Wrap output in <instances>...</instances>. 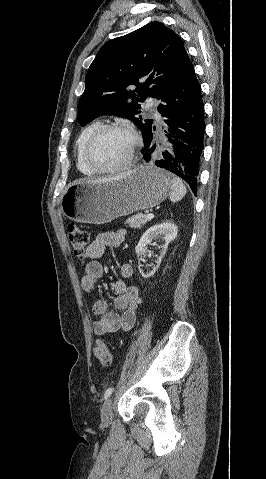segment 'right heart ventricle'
<instances>
[{
  "label": "right heart ventricle",
  "mask_w": 266,
  "mask_h": 479,
  "mask_svg": "<svg viewBox=\"0 0 266 479\" xmlns=\"http://www.w3.org/2000/svg\"><path fill=\"white\" fill-rule=\"evenodd\" d=\"M101 125L99 121H93L88 124L78 135L76 144H75V152H76V166L80 173L85 176H93L95 173L92 172L89 167L86 165L84 160V148L86 142L90 135Z\"/></svg>",
  "instance_id": "obj_1"
}]
</instances>
